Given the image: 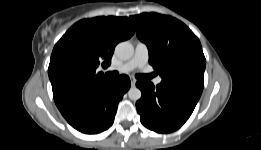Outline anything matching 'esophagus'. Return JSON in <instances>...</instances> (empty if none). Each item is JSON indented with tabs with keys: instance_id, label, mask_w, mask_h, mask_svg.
Returning a JSON list of instances; mask_svg holds the SVG:
<instances>
[{
	"instance_id": "1",
	"label": "esophagus",
	"mask_w": 261,
	"mask_h": 150,
	"mask_svg": "<svg viewBox=\"0 0 261 150\" xmlns=\"http://www.w3.org/2000/svg\"><path fill=\"white\" fill-rule=\"evenodd\" d=\"M136 85V79L132 78L131 79V86L134 87Z\"/></svg>"
}]
</instances>
